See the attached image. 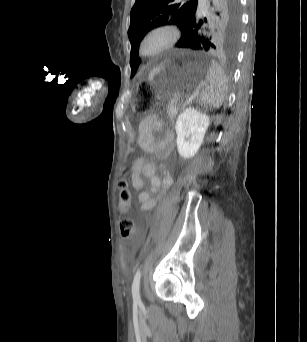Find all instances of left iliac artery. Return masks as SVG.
I'll list each match as a JSON object with an SVG mask.
<instances>
[{
	"label": "left iliac artery",
	"mask_w": 307,
	"mask_h": 342,
	"mask_svg": "<svg viewBox=\"0 0 307 342\" xmlns=\"http://www.w3.org/2000/svg\"><path fill=\"white\" fill-rule=\"evenodd\" d=\"M140 278H141V270L138 269L135 273L133 283H132V297L134 303H141V298H140Z\"/></svg>",
	"instance_id": "44dca946"
}]
</instances>
